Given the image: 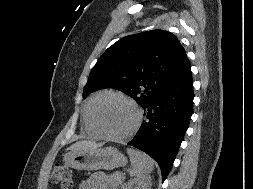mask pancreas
<instances>
[{"label":"pancreas","mask_w":253,"mask_h":189,"mask_svg":"<svg viewBox=\"0 0 253 189\" xmlns=\"http://www.w3.org/2000/svg\"><path fill=\"white\" fill-rule=\"evenodd\" d=\"M108 177L109 183L114 187H118L123 182L124 179V175L120 172L110 174Z\"/></svg>","instance_id":"obj_1"}]
</instances>
